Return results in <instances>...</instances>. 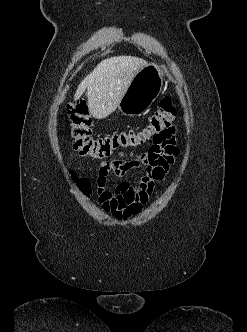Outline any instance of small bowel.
<instances>
[{
  "label": "small bowel",
  "mask_w": 247,
  "mask_h": 332,
  "mask_svg": "<svg viewBox=\"0 0 247 332\" xmlns=\"http://www.w3.org/2000/svg\"><path fill=\"white\" fill-rule=\"evenodd\" d=\"M179 150L173 136L163 145L152 146L147 152H119L99 164L97 176L98 200L102 208L117 219H126L140 212L157 184L163 182ZM144 166L145 174L136 185L120 181L112 189L108 187L109 176L123 178L133 168Z\"/></svg>",
  "instance_id": "small-bowel-1"
}]
</instances>
